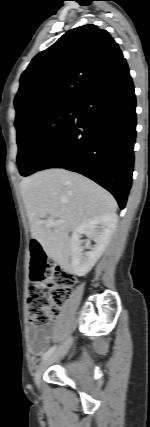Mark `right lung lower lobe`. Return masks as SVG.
<instances>
[{"label": "right lung lower lobe", "mask_w": 150, "mask_h": 427, "mask_svg": "<svg viewBox=\"0 0 150 427\" xmlns=\"http://www.w3.org/2000/svg\"><path fill=\"white\" fill-rule=\"evenodd\" d=\"M136 99L129 68L89 93L36 171L64 168L110 191L121 209L132 184Z\"/></svg>", "instance_id": "1"}]
</instances>
